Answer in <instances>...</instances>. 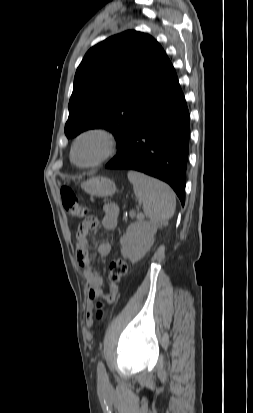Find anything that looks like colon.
Instances as JSON below:
<instances>
[{"label": "colon", "mask_w": 253, "mask_h": 413, "mask_svg": "<svg viewBox=\"0 0 253 413\" xmlns=\"http://www.w3.org/2000/svg\"><path fill=\"white\" fill-rule=\"evenodd\" d=\"M60 193L62 204L69 215L75 218H80L85 215V209L76 194L70 188L63 187ZM127 268L128 266L124 259L117 258L113 260L109 267L108 279H115L118 283L127 273ZM102 306L103 302L99 301L94 312L96 319H101L103 317Z\"/></svg>", "instance_id": "colon-1"}]
</instances>
